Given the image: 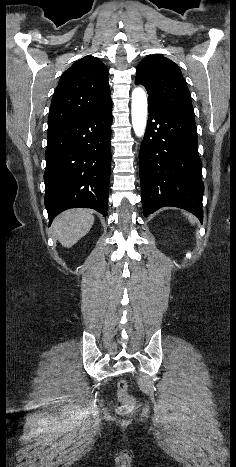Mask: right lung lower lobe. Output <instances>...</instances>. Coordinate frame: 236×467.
I'll return each mask as SVG.
<instances>
[{"label":"right lung lower lobe","mask_w":236,"mask_h":467,"mask_svg":"<svg viewBox=\"0 0 236 467\" xmlns=\"http://www.w3.org/2000/svg\"><path fill=\"white\" fill-rule=\"evenodd\" d=\"M111 124L110 101L79 119L48 129L44 203L50 224L69 208H92L107 216Z\"/></svg>","instance_id":"98d812e1"}]
</instances>
